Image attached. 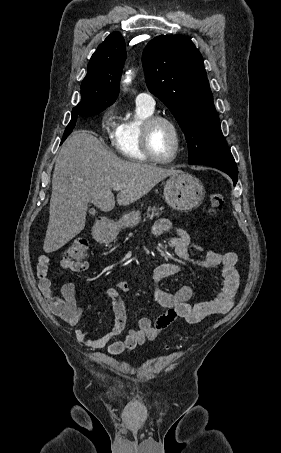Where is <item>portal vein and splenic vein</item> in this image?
I'll use <instances>...</instances> for the list:
<instances>
[{
    "label": "portal vein and splenic vein",
    "mask_w": 281,
    "mask_h": 453,
    "mask_svg": "<svg viewBox=\"0 0 281 453\" xmlns=\"http://www.w3.org/2000/svg\"><path fill=\"white\" fill-rule=\"evenodd\" d=\"M122 188V184H114L113 190H120Z\"/></svg>",
    "instance_id": "portal-vein-and-splenic-vein-1"
}]
</instances>
